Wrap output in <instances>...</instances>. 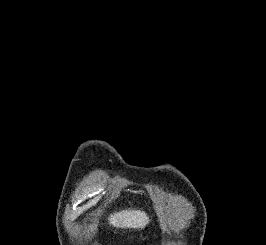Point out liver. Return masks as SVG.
Masks as SVG:
<instances>
[{
	"mask_svg": "<svg viewBox=\"0 0 266 245\" xmlns=\"http://www.w3.org/2000/svg\"><path fill=\"white\" fill-rule=\"evenodd\" d=\"M109 225L119 227V229H145L149 223L144 211H119L110 215Z\"/></svg>",
	"mask_w": 266,
	"mask_h": 245,
	"instance_id": "obj_1",
	"label": "liver"
}]
</instances>
